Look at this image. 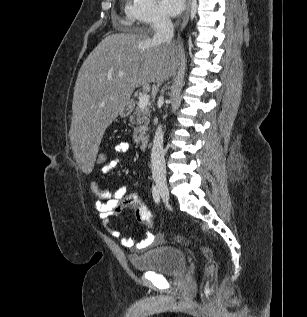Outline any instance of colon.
I'll return each mask as SVG.
<instances>
[{
	"label": "colon",
	"mask_w": 307,
	"mask_h": 317,
	"mask_svg": "<svg viewBox=\"0 0 307 317\" xmlns=\"http://www.w3.org/2000/svg\"><path fill=\"white\" fill-rule=\"evenodd\" d=\"M96 165L103 167L107 164V154L103 151H99L96 160ZM121 207H128L133 209L135 218L138 223L144 224L148 227H152L153 225V219L152 214L148 207L145 205V203L142 201L141 197L136 194H130L126 196L121 203L115 208V212L118 213L121 209ZM176 240L179 243H183L184 239L182 237H177ZM202 251L206 254L208 257V261L205 267V276L202 283V294L206 295L208 294L211 284L216 276L217 272V264L214 261V259L211 256V250L207 247H203Z\"/></svg>",
	"instance_id": "colon-1"
}]
</instances>
